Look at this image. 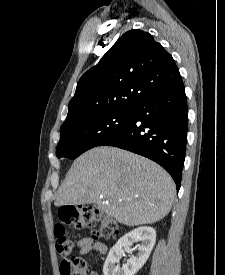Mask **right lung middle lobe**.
<instances>
[{"instance_id":"1","label":"right lung middle lobe","mask_w":225,"mask_h":275,"mask_svg":"<svg viewBox=\"0 0 225 275\" xmlns=\"http://www.w3.org/2000/svg\"><path fill=\"white\" fill-rule=\"evenodd\" d=\"M131 116V110L108 111L77 119L60 130L56 147L58 158H77L83 152L99 146L104 140L123 128Z\"/></svg>"}]
</instances>
